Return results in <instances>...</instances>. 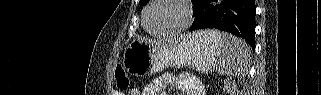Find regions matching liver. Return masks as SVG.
<instances>
[{"label": "liver", "instance_id": "6515ba94", "mask_svg": "<svg viewBox=\"0 0 321 95\" xmlns=\"http://www.w3.org/2000/svg\"><path fill=\"white\" fill-rule=\"evenodd\" d=\"M147 42L149 43H152V44H162L164 46H171L172 44H174L175 42H178L176 40H169L168 43L166 42H160V41H155V40H146Z\"/></svg>", "mask_w": 321, "mask_h": 95}]
</instances>
